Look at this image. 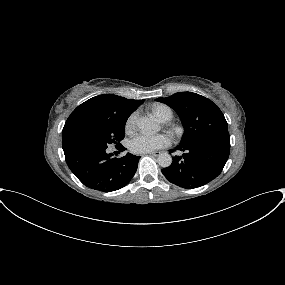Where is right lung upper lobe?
<instances>
[{
  "instance_id": "1",
  "label": "right lung upper lobe",
  "mask_w": 285,
  "mask_h": 285,
  "mask_svg": "<svg viewBox=\"0 0 285 285\" xmlns=\"http://www.w3.org/2000/svg\"><path fill=\"white\" fill-rule=\"evenodd\" d=\"M144 100L126 99L112 94L95 96L79 105L69 116L62 130V148L74 147L86 131L112 118H128Z\"/></svg>"
}]
</instances>
